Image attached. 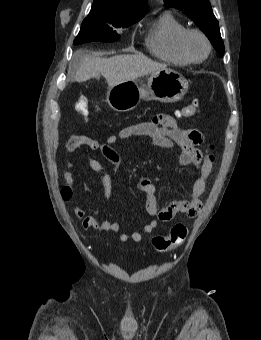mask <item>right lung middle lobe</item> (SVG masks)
Instances as JSON below:
<instances>
[{
  "instance_id": "obj_1",
  "label": "right lung middle lobe",
  "mask_w": 261,
  "mask_h": 340,
  "mask_svg": "<svg viewBox=\"0 0 261 340\" xmlns=\"http://www.w3.org/2000/svg\"><path fill=\"white\" fill-rule=\"evenodd\" d=\"M141 18H119L113 17L99 11H90L88 17L84 19L81 29L74 44L90 41L113 42L119 39L120 35L115 28H125Z\"/></svg>"
}]
</instances>
